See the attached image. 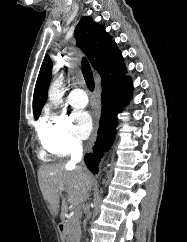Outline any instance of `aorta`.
<instances>
[{"mask_svg": "<svg viewBox=\"0 0 187 242\" xmlns=\"http://www.w3.org/2000/svg\"><path fill=\"white\" fill-rule=\"evenodd\" d=\"M63 90V77L61 75L52 82L48 91V98L52 105L58 106L62 102Z\"/></svg>", "mask_w": 187, "mask_h": 242, "instance_id": "1", "label": "aorta"}]
</instances>
